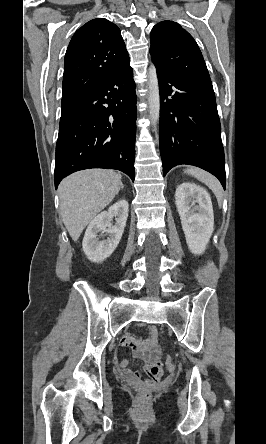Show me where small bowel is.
<instances>
[{"instance_id":"c3829d8e","label":"small bowel","mask_w":266,"mask_h":444,"mask_svg":"<svg viewBox=\"0 0 266 444\" xmlns=\"http://www.w3.org/2000/svg\"><path fill=\"white\" fill-rule=\"evenodd\" d=\"M121 343L125 347H130L137 358L146 361L148 364V378L146 379L145 384L148 386H155L163 376V364L159 358L160 350L156 328H150V336L147 339L140 340L133 336L126 335L123 337ZM128 364V360L124 358L119 362L118 368L128 377L131 383L141 385L142 381L139 372L131 370L128 367Z\"/></svg>"}]
</instances>
